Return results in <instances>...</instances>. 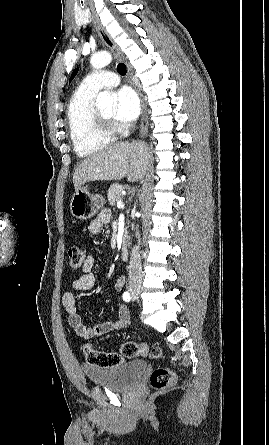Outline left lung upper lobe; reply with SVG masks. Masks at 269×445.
<instances>
[{
  "mask_svg": "<svg viewBox=\"0 0 269 445\" xmlns=\"http://www.w3.org/2000/svg\"><path fill=\"white\" fill-rule=\"evenodd\" d=\"M77 71H78V69H75V70L73 71V73H72V75H71V78H70V81H69V82H71V80L75 77V75L77 74Z\"/></svg>",
  "mask_w": 269,
  "mask_h": 445,
  "instance_id": "obj_1",
  "label": "left lung upper lobe"
}]
</instances>
